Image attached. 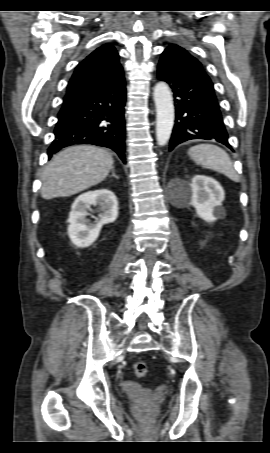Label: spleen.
Here are the masks:
<instances>
[{"label": "spleen", "instance_id": "obj_1", "mask_svg": "<svg viewBox=\"0 0 270 453\" xmlns=\"http://www.w3.org/2000/svg\"><path fill=\"white\" fill-rule=\"evenodd\" d=\"M188 155L197 165L220 172L235 182L239 181L229 155L219 146L198 144L188 150Z\"/></svg>", "mask_w": 270, "mask_h": 453}]
</instances>
